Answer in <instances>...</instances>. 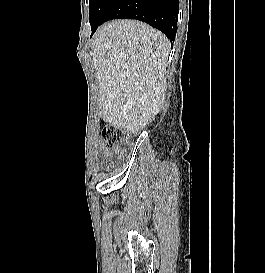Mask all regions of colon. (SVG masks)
Wrapping results in <instances>:
<instances>
[{
    "label": "colon",
    "mask_w": 265,
    "mask_h": 273,
    "mask_svg": "<svg viewBox=\"0 0 265 273\" xmlns=\"http://www.w3.org/2000/svg\"><path fill=\"white\" fill-rule=\"evenodd\" d=\"M104 149L111 153H118L124 140V132L115 125H106L102 130Z\"/></svg>",
    "instance_id": "obj_1"
}]
</instances>
